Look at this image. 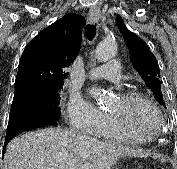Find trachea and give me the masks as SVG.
<instances>
[{
  "mask_svg": "<svg viewBox=\"0 0 177 169\" xmlns=\"http://www.w3.org/2000/svg\"><path fill=\"white\" fill-rule=\"evenodd\" d=\"M85 33H86L88 40L91 41L95 37L96 26L93 24H88L85 28Z\"/></svg>",
  "mask_w": 177,
  "mask_h": 169,
  "instance_id": "obj_1",
  "label": "trachea"
}]
</instances>
